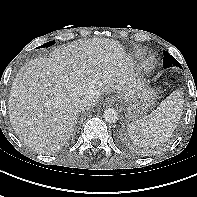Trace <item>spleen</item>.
I'll return each mask as SVG.
<instances>
[{
	"label": "spleen",
	"instance_id": "obj_1",
	"mask_svg": "<svg viewBox=\"0 0 197 197\" xmlns=\"http://www.w3.org/2000/svg\"><path fill=\"white\" fill-rule=\"evenodd\" d=\"M181 90L173 91L151 114L128 125L134 144L155 147L169 140L176 129L183 110Z\"/></svg>",
	"mask_w": 197,
	"mask_h": 197
}]
</instances>
